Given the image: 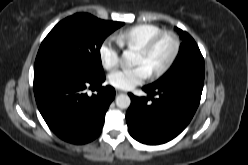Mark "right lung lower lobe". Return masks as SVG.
<instances>
[{"mask_svg":"<svg viewBox=\"0 0 248 165\" xmlns=\"http://www.w3.org/2000/svg\"><path fill=\"white\" fill-rule=\"evenodd\" d=\"M105 75L91 77L74 64H55L34 71V94L49 128L61 139L84 144L97 138L115 89L102 86ZM97 94L88 96L87 86Z\"/></svg>","mask_w":248,"mask_h":165,"instance_id":"right-lung-lower-lobe-1","label":"right lung lower lobe"}]
</instances>
